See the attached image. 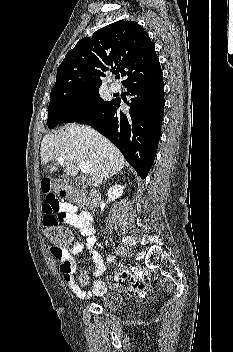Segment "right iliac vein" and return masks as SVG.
I'll return each instance as SVG.
<instances>
[{
    "instance_id": "1",
    "label": "right iliac vein",
    "mask_w": 233,
    "mask_h": 352,
    "mask_svg": "<svg viewBox=\"0 0 233 352\" xmlns=\"http://www.w3.org/2000/svg\"><path fill=\"white\" fill-rule=\"evenodd\" d=\"M114 251L116 254H118L122 257H132L133 256L132 251L124 246H116L114 248Z\"/></svg>"
}]
</instances>
